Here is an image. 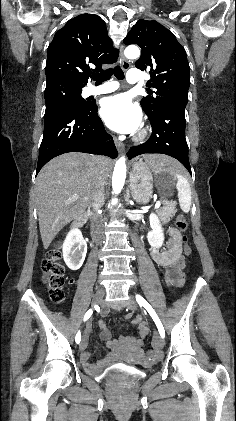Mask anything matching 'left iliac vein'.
I'll return each instance as SVG.
<instances>
[{"mask_svg": "<svg viewBox=\"0 0 236 421\" xmlns=\"http://www.w3.org/2000/svg\"><path fill=\"white\" fill-rule=\"evenodd\" d=\"M127 306L129 307L130 310L135 311L137 310V302L134 299V297H130L128 302H127ZM152 344L156 347V348H162L164 345L163 342V338L161 337V335L158 332H154V337H153V341Z\"/></svg>", "mask_w": 236, "mask_h": 421, "instance_id": "left-iliac-vein-1", "label": "left iliac vein"}]
</instances>
